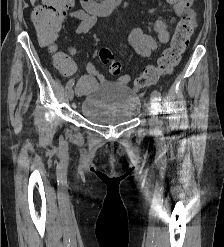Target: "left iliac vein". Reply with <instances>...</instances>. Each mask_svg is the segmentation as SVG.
Instances as JSON below:
<instances>
[{
	"mask_svg": "<svg viewBox=\"0 0 224 247\" xmlns=\"http://www.w3.org/2000/svg\"><path fill=\"white\" fill-rule=\"evenodd\" d=\"M150 103H151V113H152L150 126L153 130H157L160 124L157 116L159 111L158 100L153 95H151Z\"/></svg>",
	"mask_w": 224,
	"mask_h": 247,
	"instance_id": "left-iliac-vein-1",
	"label": "left iliac vein"
}]
</instances>
